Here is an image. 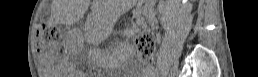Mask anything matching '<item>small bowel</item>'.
Masks as SVG:
<instances>
[{"instance_id":"obj_1","label":"small bowel","mask_w":258,"mask_h":77,"mask_svg":"<svg viewBox=\"0 0 258 77\" xmlns=\"http://www.w3.org/2000/svg\"><path fill=\"white\" fill-rule=\"evenodd\" d=\"M144 73L147 74V75H149V74H152V73H154V72H153V71L146 70V71H144Z\"/></svg>"}]
</instances>
